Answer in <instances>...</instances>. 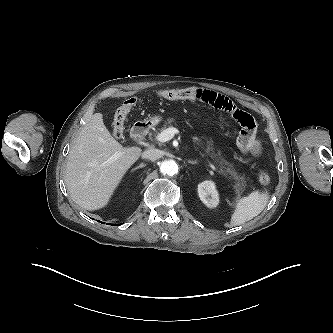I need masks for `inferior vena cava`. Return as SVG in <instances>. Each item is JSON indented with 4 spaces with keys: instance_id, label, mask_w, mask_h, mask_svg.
Listing matches in <instances>:
<instances>
[{
    "instance_id": "602c4592",
    "label": "inferior vena cava",
    "mask_w": 333,
    "mask_h": 333,
    "mask_svg": "<svg viewBox=\"0 0 333 333\" xmlns=\"http://www.w3.org/2000/svg\"><path fill=\"white\" fill-rule=\"evenodd\" d=\"M162 157V152L158 149H150L146 150L142 153L143 159H148L150 161H156L157 159Z\"/></svg>"
}]
</instances>
